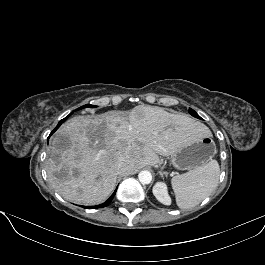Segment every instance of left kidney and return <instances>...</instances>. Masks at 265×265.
I'll return each instance as SVG.
<instances>
[{"instance_id": "left-kidney-1", "label": "left kidney", "mask_w": 265, "mask_h": 265, "mask_svg": "<svg viewBox=\"0 0 265 265\" xmlns=\"http://www.w3.org/2000/svg\"><path fill=\"white\" fill-rule=\"evenodd\" d=\"M153 194L156 199L164 205L171 204V198L167 191V185L164 182H157L153 187Z\"/></svg>"}]
</instances>
